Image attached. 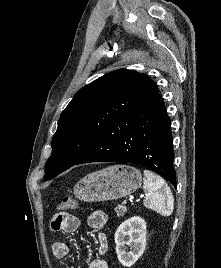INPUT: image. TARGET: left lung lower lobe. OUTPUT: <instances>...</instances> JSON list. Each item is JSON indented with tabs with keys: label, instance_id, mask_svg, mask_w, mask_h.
I'll use <instances>...</instances> for the list:
<instances>
[{
	"label": "left lung lower lobe",
	"instance_id": "obj_1",
	"mask_svg": "<svg viewBox=\"0 0 221 268\" xmlns=\"http://www.w3.org/2000/svg\"><path fill=\"white\" fill-rule=\"evenodd\" d=\"M173 157L170 119L163 100L156 95L117 118L76 164H139L157 172L176 188Z\"/></svg>",
	"mask_w": 221,
	"mask_h": 268
}]
</instances>
